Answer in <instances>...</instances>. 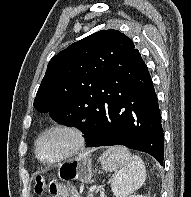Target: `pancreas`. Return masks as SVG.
Instances as JSON below:
<instances>
[{
    "instance_id": "1",
    "label": "pancreas",
    "mask_w": 191,
    "mask_h": 197,
    "mask_svg": "<svg viewBox=\"0 0 191 197\" xmlns=\"http://www.w3.org/2000/svg\"><path fill=\"white\" fill-rule=\"evenodd\" d=\"M87 197H93L92 193H88Z\"/></svg>"
}]
</instances>
